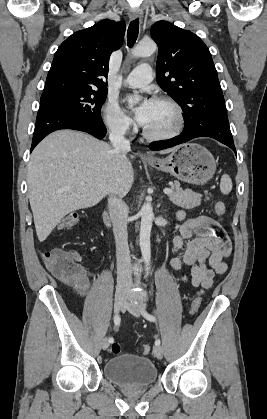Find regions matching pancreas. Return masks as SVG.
Instances as JSON below:
<instances>
[{
    "mask_svg": "<svg viewBox=\"0 0 267 419\" xmlns=\"http://www.w3.org/2000/svg\"><path fill=\"white\" fill-rule=\"evenodd\" d=\"M172 191L169 198L177 206L185 209H193L201 204L202 195L190 189L183 190L178 181L174 182Z\"/></svg>",
    "mask_w": 267,
    "mask_h": 419,
    "instance_id": "obj_1",
    "label": "pancreas"
}]
</instances>
